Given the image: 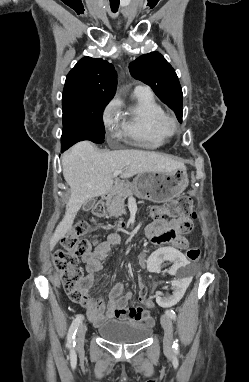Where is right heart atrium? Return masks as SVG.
<instances>
[{
	"instance_id": "d8ad5b80",
	"label": "right heart atrium",
	"mask_w": 249,
	"mask_h": 382,
	"mask_svg": "<svg viewBox=\"0 0 249 382\" xmlns=\"http://www.w3.org/2000/svg\"><path fill=\"white\" fill-rule=\"evenodd\" d=\"M118 108L119 103L117 102V100H112L104 108L102 113V122L106 128L112 129L115 126H117L119 122Z\"/></svg>"
}]
</instances>
